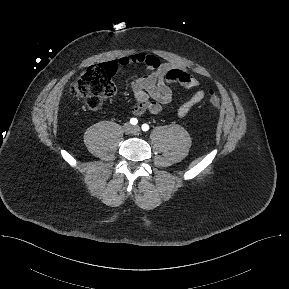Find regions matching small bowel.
I'll list each match as a JSON object with an SVG mask.
<instances>
[{
    "mask_svg": "<svg viewBox=\"0 0 289 289\" xmlns=\"http://www.w3.org/2000/svg\"><path fill=\"white\" fill-rule=\"evenodd\" d=\"M119 66L143 65L148 73L131 82L135 98L132 112L140 116L145 112L159 115L165 112L173 98L172 86L179 84L186 89H196L195 93L184 100L177 108L178 118H184L191 109L205 97L202 83L186 69L175 67L170 63H162L152 54L141 52L121 56Z\"/></svg>",
    "mask_w": 289,
    "mask_h": 289,
    "instance_id": "c3829d8e",
    "label": "small bowel"
}]
</instances>
